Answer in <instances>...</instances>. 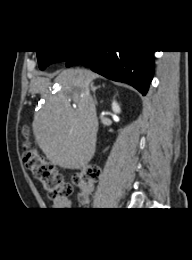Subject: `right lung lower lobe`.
Returning a JSON list of instances; mask_svg holds the SVG:
<instances>
[{
  "instance_id": "1",
  "label": "right lung lower lobe",
  "mask_w": 192,
  "mask_h": 260,
  "mask_svg": "<svg viewBox=\"0 0 192 260\" xmlns=\"http://www.w3.org/2000/svg\"><path fill=\"white\" fill-rule=\"evenodd\" d=\"M154 51H76L66 60V66L81 64L111 80L125 82L142 95L153 78Z\"/></svg>"
}]
</instances>
